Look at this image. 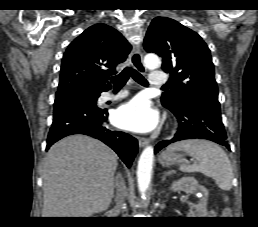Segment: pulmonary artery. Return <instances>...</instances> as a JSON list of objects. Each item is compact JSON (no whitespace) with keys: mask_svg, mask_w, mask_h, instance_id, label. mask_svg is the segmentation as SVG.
Masks as SVG:
<instances>
[{"mask_svg":"<svg viewBox=\"0 0 258 227\" xmlns=\"http://www.w3.org/2000/svg\"><path fill=\"white\" fill-rule=\"evenodd\" d=\"M167 83V76L164 73L157 72V71H152L150 73V84L152 86H161ZM126 96V92L122 91L117 94L113 93H104L101 97L102 102H107V101H114V100H119Z\"/></svg>","mask_w":258,"mask_h":227,"instance_id":"obj_1","label":"pulmonary artery"}]
</instances>
